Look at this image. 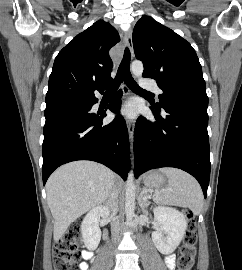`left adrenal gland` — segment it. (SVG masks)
Returning a JSON list of instances; mask_svg holds the SVG:
<instances>
[{"label":"left adrenal gland","instance_id":"left-adrenal-gland-1","mask_svg":"<svg viewBox=\"0 0 242 270\" xmlns=\"http://www.w3.org/2000/svg\"><path fill=\"white\" fill-rule=\"evenodd\" d=\"M148 204H149V201L146 200V199L144 198V196H143V193H141V195H140V197H139V205H140V208H141V210H142V212H143L144 214H147L146 208H147Z\"/></svg>","mask_w":242,"mask_h":270}]
</instances>
